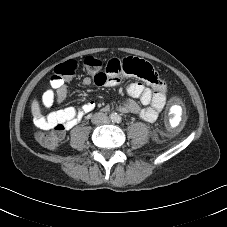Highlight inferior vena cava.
Masks as SVG:
<instances>
[{
  "label": "inferior vena cava",
  "mask_w": 227,
  "mask_h": 227,
  "mask_svg": "<svg viewBox=\"0 0 227 227\" xmlns=\"http://www.w3.org/2000/svg\"><path fill=\"white\" fill-rule=\"evenodd\" d=\"M108 121V117L106 116V114L98 112L95 113L92 117V123L94 124H103V123H107Z\"/></svg>",
  "instance_id": "1"
}]
</instances>
